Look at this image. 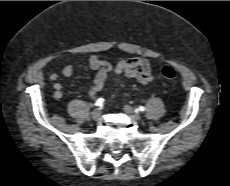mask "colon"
Segmentation results:
<instances>
[{
	"label": "colon",
	"mask_w": 230,
	"mask_h": 186,
	"mask_svg": "<svg viewBox=\"0 0 230 186\" xmlns=\"http://www.w3.org/2000/svg\"><path fill=\"white\" fill-rule=\"evenodd\" d=\"M159 72L160 74L166 78V79H174L176 77V72L175 70L168 65H163L161 67H159Z\"/></svg>",
	"instance_id": "colon-1"
}]
</instances>
